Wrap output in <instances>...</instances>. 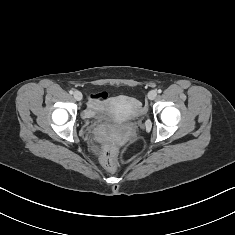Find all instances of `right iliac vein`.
Returning a JSON list of instances; mask_svg holds the SVG:
<instances>
[{
	"instance_id": "obj_1",
	"label": "right iliac vein",
	"mask_w": 235,
	"mask_h": 235,
	"mask_svg": "<svg viewBox=\"0 0 235 235\" xmlns=\"http://www.w3.org/2000/svg\"><path fill=\"white\" fill-rule=\"evenodd\" d=\"M82 93L80 91H75L74 92V98L77 100V101H80L82 100Z\"/></svg>"
}]
</instances>
